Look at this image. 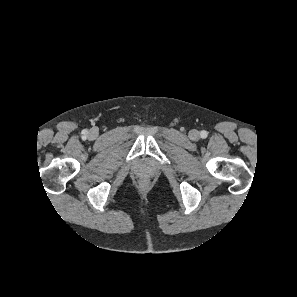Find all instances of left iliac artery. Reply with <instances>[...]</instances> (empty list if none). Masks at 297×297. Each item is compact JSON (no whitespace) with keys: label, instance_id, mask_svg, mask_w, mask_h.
Instances as JSON below:
<instances>
[{"label":"left iliac artery","instance_id":"obj_1","mask_svg":"<svg viewBox=\"0 0 297 297\" xmlns=\"http://www.w3.org/2000/svg\"><path fill=\"white\" fill-rule=\"evenodd\" d=\"M200 136H201V138L204 139V138H206L208 136V132L203 130V131L200 132Z\"/></svg>","mask_w":297,"mask_h":297}]
</instances>
